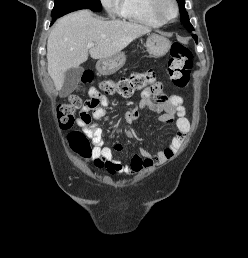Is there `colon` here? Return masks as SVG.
<instances>
[{
	"label": "colon",
	"instance_id": "colon-1",
	"mask_svg": "<svg viewBox=\"0 0 248 258\" xmlns=\"http://www.w3.org/2000/svg\"><path fill=\"white\" fill-rule=\"evenodd\" d=\"M192 57V52L187 46L181 43H174L171 46L168 74L176 87L184 88L189 83ZM92 79V74L87 72L82 76L81 83L82 85L89 84ZM148 87L156 90L160 89V84L156 82V74L153 70L135 73L118 81L105 80L101 83V90L105 94H118L122 97H130ZM80 105V98L76 95H71L67 102L58 106L57 121L60 127L68 129L73 126L74 114ZM68 141L73 151L80 157L84 159L91 157V139L84 131H71L68 135Z\"/></svg>",
	"mask_w": 248,
	"mask_h": 258
}]
</instances>
